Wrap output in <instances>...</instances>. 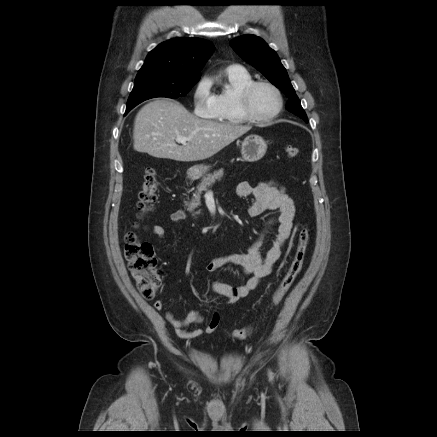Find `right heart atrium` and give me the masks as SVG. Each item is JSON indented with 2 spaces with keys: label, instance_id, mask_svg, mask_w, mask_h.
I'll return each instance as SVG.
<instances>
[{
  "label": "right heart atrium",
  "instance_id": "d8ad5b80",
  "mask_svg": "<svg viewBox=\"0 0 437 437\" xmlns=\"http://www.w3.org/2000/svg\"><path fill=\"white\" fill-rule=\"evenodd\" d=\"M193 105L196 115L203 118H213L216 113V97L212 93L210 83L202 79L193 92Z\"/></svg>",
  "mask_w": 437,
  "mask_h": 437
}]
</instances>
